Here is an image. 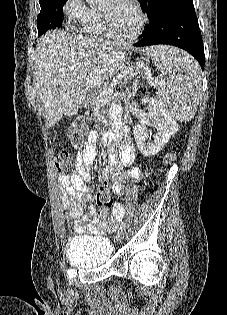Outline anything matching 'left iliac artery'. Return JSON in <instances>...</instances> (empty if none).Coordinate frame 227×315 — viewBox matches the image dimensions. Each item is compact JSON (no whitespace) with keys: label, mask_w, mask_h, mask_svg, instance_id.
Segmentation results:
<instances>
[{"label":"left iliac artery","mask_w":227,"mask_h":315,"mask_svg":"<svg viewBox=\"0 0 227 315\" xmlns=\"http://www.w3.org/2000/svg\"><path fill=\"white\" fill-rule=\"evenodd\" d=\"M126 224L124 222L121 223L120 225V231L122 232L123 230H125Z\"/></svg>","instance_id":"left-iliac-artery-1"}]
</instances>
